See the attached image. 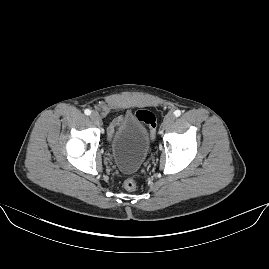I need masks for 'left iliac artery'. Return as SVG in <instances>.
Returning a JSON list of instances; mask_svg holds the SVG:
<instances>
[{"label":"left iliac artery","mask_w":269,"mask_h":269,"mask_svg":"<svg viewBox=\"0 0 269 269\" xmlns=\"http://www.w3.org/2000/svg\"><path fill=\"white\" fill-rule=\"evenodd\" d=\"M174 114H175L176 117H178V116L181 115V111H180V110H176V111L174 112Z\"/></svg>","instance_id":"44dca946"}]
</instances>
